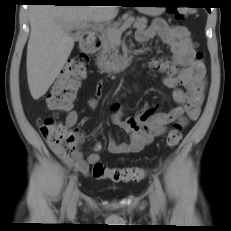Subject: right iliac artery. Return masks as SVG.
<instances>
[{"label":"right iliac artery","instance_id":"obj_1","mask_svg":"<svg viewBox=\"0 0 231 231\" xmlns=\"http://www.w3.org/2000/svg\"><path fill=\"white\" fill-rule=\"evenodd\" d=\"M76 180V176H73L68 184V187L66 189L65 195H64V199H63V207L65 208L68 205L69 199H70V195L74 186Z\"/></svg>","mask_w":231,"mask_h":231}]
</instances>
